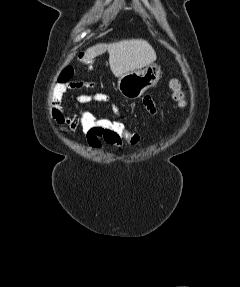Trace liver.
I'll return each mask as SVG.
<instances>
[{
	"label": "liver",
	"instance_id": "liver-1",
	"mask_svg": "<svg viewBox=\"0 0 240 287\" xmlns=\"http://www.w3.org/2000/svg\"><path fill=\"white\" fill-rule=\"evenodd\" d=\"M106 51L109 53L110 69L116 77L146 67L157 58L155 50L146 40L130 39L92 46L86 50L83 61L88 62Z\"/></svg>",
	"mask_w": 240,
	"mask_h": 287
}]
</instances>
